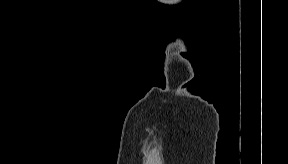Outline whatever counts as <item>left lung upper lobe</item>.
<instances>
[{
    "label": "left lung upper lobe",
    "mask_w": 288,
    "mask_h": 164,
    "mask_svg": "<svg viewBox=\"0 0 288 164\" xmlns=\"http://www.w3.org/2000/svg\"><path fill=\"white\" fill-rule=\"evenodd\" d=\"M217 84H218V81L215 80V81H213V82L211 83V87H212L213 89H216Z\"/></svg>",
    "instance_id": "left-lung-upper-lobe-1"
}]
</instances>
